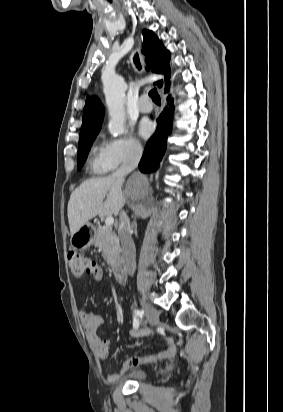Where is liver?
<instances>
[{
	"label": "liver",
	"instance_id": "obj_1",
	"mask_svg": "<svg viewBox=\"0 0 283 412\" xmlns=\"http://www.w3.org/2000/svg\"><path fill=\"white\" fill-rule=\"evenodd\" d=\"M122 184L111 175L88 179L76 188L71 193L67 208L71 235L97 215L117 216L125 203Z\"/></svg>",
	"mask_w": 283,
	"mask_h": 412
}]
</instances>
